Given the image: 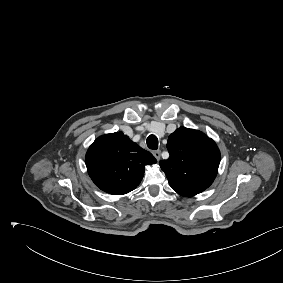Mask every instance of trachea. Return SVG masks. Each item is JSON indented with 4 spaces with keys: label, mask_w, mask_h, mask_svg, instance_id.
Segmentation results:
<instances>
[{
    "label": "trachea",
    "mask_w": 283,
    "mask_h": 283,
    "mask_svg": "<svg viewBox=\"0 0 283 283\" xmlns=\"http://www.w3.org/2000/svg\"><path fill=\"white\" fill-rule=\"evenodd\" d=\"M146 142L149 149L152 150L158 149V139L155 135L153 134L149 135Z\"/></svg>",
    "instance_id": "1"
}]
</instances>
